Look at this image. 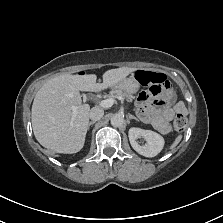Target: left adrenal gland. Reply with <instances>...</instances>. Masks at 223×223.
<instances>
[{
  "label": "left adrenal gland",
  "instance_id": "1",
  "mask_svg": "<svg viewBox=\"0 0 223 223\" xmlns=\"http://www.w3.org/2000/svg\"><path fill=\"white\" fill-rule=\"evenodd\" d=\"M129 119H135L137 122H139V119L136 118L134 115L128 114Z\"/></svg>",
  "mask_w": 223,
  "mask_h": 223
}]
</instances>
